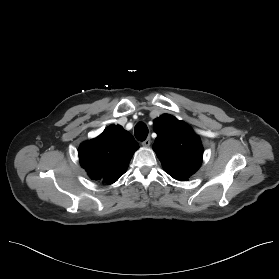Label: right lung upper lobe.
I'll use <instances>...</instances> for the list:
<instances>
[{
    "label": "right lung upper lobe",
    "mask_w": 279,
    "mask_h": 279,
    "mask_svg": "<svg viewBox=\"0 0 279 279\" xmlns=\"http://www.w3.org/2000/svg\"><path fill=\"white\" fill-rule=\"evenodd\" d=\"M138 148L128 131L119 125H111L97 138L80 145L79 160L91 179L112 184L126 172Z\"/></svg>",
    "instance_id": "1"
}]
</instances>
